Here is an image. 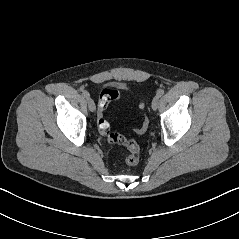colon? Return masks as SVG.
I'll use <instances>...</instances> for the list:
<instances>
[{"instance_id":"1","label":"colon","mask_w":239,"mask_h":239,"mask_svg":"<svg viewBox=\"0 0 239 239\" xmlns=\"http://www.w3.org/2000/svg\"><path fill=\"white\" fill-rule=\"evenodd\" d=\"M119 98V92L112 88H105L101 92L98 101L99 113H98V128L102 135H104L108 141L112 144L122 145L127 149V154L125 156V163L127 165H136L139 161V147L137 143L133 140H129L123 135L110 131V124L105 118V110L110 101ZM144 103L140 104L141 110H144ZM148 127L147 117L143 116L142 125L139 128L134 129V133L141 135Z\"/></svg>"}]
</instances>
